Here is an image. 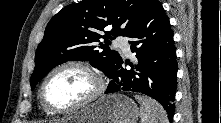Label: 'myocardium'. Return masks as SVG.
Returning a JSON list of instances; mask_svg holds the SVG:
<instances>
[{
    "label": "myocardium",
    "mask_w": 221,
    "mask_h": 123,
    "mask_svg": "<svg viewBox=\"0 0 221 123\" xmlns=\"http://www.w3.org/2000/svg\"><path fill=\"white\" fill-rule=\"evenodd\" d=\"M69 68L79 69V70L87 73L95 81V88H94L93 92L85 100L81 101L80 103L75 104L73 106L65 107V108H58V107L51 105L48 102V100L46 98V94H45L46 86L54 74H56L57 72H59L61 70L69 69ZM105 88H106L105 80H104L103 76L97 70H95L93 67H91L90 65H88L86 63L78 62V61H70V62H65V63H62V64L54 67L45 76V78L40 86V101H41L42 106L50 113H53V114L70 113V112H74V111L83 109V108L93 104L94 102H96L103 95Z\"/></svg>",
    "instance_id": "obj_1"
}]
</instances>
